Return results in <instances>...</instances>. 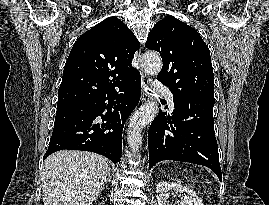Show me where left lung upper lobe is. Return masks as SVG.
Returning <instances> with one entry per match:
<instances>
[{
    "mask_svg": "<svg viewBox=\"0 0 269 205\" xmlns=\"http://www.w3.org/2000/svg\"><path fill=\"white\" fill-rule=\"evenodd\" d=\"M145 46L160 53L163 67L157 79L178 98L214 99L210 52L199 33L172 16L155 24Z\"/></svg>",
    "mask_w": 269,
    "mask_h": 205,
    "instance_id": "1",
    "label": "left lung upper lobe"
}]
</instances>
